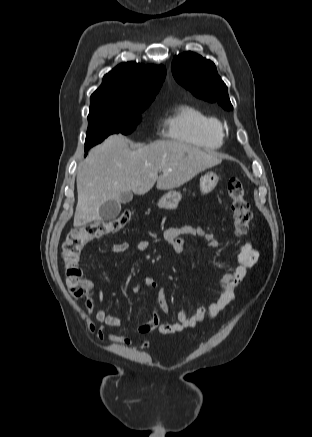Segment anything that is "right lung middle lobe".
Returning <instances> with one entry per match:
<instances>
[{"instance_id":"dd1d6c3e","label":"right lung middle lobe","mask_w":312,"mask_h":437,"mask_svg":"<svg viewBox=\"0 0 312 437\" xmlns=\"http://www.w3.org/2000/svg\"><path fill=\"white\" fill-rule=\"evenodd\" d=\"M143 112L134 114L112 111L90 112L88 115L85 154H87L90 147L101 143L111 134L131 133L140 122Z\"/></svg>"}]
</instances>
